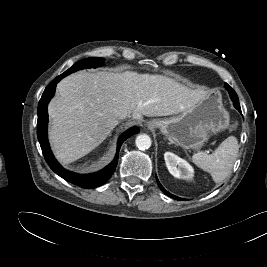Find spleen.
I'll return each mask as SVG.
<instances>
[{"label": "spleen", "instance_id": "1", "mask_svg": "<svg viewBox=\"0 0 267 267\" xmlns=\"http://www.w3.org/2000/svg\"><path fill=\"white\" fill-rule=\"evenodd\" d=\"M238 149L236 137L230 136L217 147L214 153L197 152L192 156V161L197 167L210 173L215 183H220L230 175Z\"/></svg>", "mask_w": 267, "mask_h": 267}]
</instances>
